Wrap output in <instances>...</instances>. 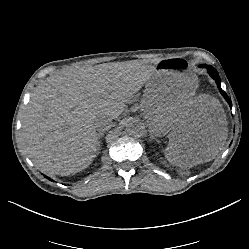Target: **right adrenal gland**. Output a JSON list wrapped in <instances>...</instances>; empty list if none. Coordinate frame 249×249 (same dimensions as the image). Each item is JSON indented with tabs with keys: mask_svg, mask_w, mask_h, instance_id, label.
<instances>
[{
	"mask_svg": "<svg viewBox=\"0 0 249 249\" xmlns=\"http://www.w3.org/2000/svg\"><path fill=\"white\" fill-rule=\"evenodd\" d=\"M103 135H104L103 132H99V133H98L99 139H100V137H102Z\"/></svg>",
	"mask_w": 249,
	"mask_h": 249,
	"instance_id": "right-adrenal-gland-1",
	"label": "right adrenal gland"
}]
</instances>
